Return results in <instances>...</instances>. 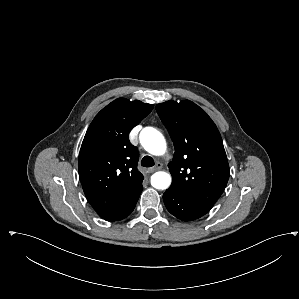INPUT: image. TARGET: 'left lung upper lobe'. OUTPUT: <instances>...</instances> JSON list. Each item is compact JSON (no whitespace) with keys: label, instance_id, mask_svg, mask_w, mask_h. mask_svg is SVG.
<instances>
[{"label":"left lung upper lobe","instance_id":"1","mask_svg":"<svg viewBox=\"0 0 299 299\" xmlns=\"http://www.w3.org/2000/svg\"><path fill=\"white\" fill-rule=\"evenodd\" d=\"M157 113L174 143L170 188L211 209L229 179V165L220 133L211 118L189 100L167 101Z\"/></svg>","mask_w":299,"mask_h":299}]
</instances>
